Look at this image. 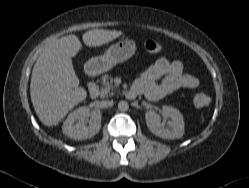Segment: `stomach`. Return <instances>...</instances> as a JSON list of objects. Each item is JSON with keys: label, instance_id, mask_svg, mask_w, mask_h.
I'll list each match as a JSON object with an SVG mask.
<instances>
[{"label": "stomach", "instance_id": "obj_1", "mask_svg": "<svg viewBox=\"0 0 249 188\" xmlns=\"http://www.w3.org/2000/svg\"><path fill=\"white\" fill-rule=\"evenodd\" d=\"M135 41L123 39L111 45L104 55L91 58L85 65L87 72L100 74L112 69L116 64L131 58L135 53Z\"/></svg>", "mask_w": 249, "mask_h": 188}]
</instances>
